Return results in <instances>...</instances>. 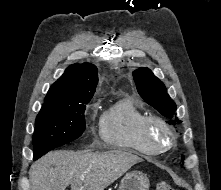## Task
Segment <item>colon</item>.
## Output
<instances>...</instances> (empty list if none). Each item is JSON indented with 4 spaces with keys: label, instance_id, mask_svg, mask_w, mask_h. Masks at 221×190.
<instances>
[{
    "label": "colon",
    "instance_id": "obj_1",
    "mask_svg": "<svg viewBox=\"0 0 221 190\" xmlns=\"http://www.w3.org/2000/svg\"><path fill=\"white\" fill-rule=\"evenodd\" d=\"M156 190H177L167 182L160 181L156 185Z\"/></svg>",
    "mask_w": 221,
    "mask_h": 190
}]
</instances>
